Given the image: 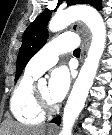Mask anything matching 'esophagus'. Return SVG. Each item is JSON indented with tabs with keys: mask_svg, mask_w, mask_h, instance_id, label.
I'll return each mask as SVG.
<instances>
[{
	"mask_svg": "<svg viewBox=\"0 0 112 135\" xmlns=\"http://www.w3.org/2000/svg\"><path fill=\"white\" fill-rule=\"evenodd\" d=\"M73 28L79 30L85 38L83 45H82V53H81V58L83 60L86 56V52H87L89 44H90L91 34H90L89 30L81 23L74 24ZM49 129L57 130V126L52 124L49 126Z\"/></svg>",
	"mask_w": 112,
	"mask_h": 135,
	"instance_id": "1",
	"label": "esophagus"
}]
</instances>
